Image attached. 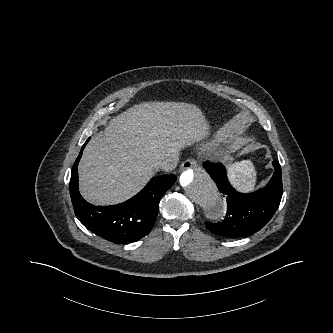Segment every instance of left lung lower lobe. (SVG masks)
<instances>
[{
    "label": "left lung lower lobe",
    "instance_id": "0a47b994",
    "mask_svg": "<svg viewBox=\"0 0 333 333\" xmlns=\"http://www.w3.org/2000/svg\"><path fill=\"white\" fill-rule=\"evenodd\" d=\"M273 166L275 172L265 189L253 194H242L229 184L222 164L205 163L204 168L218 189L227 195L228 207L222 222H206V227L217 235L228 237L247 236L264 227L276 212L283 193L280 164L275 160Z\"/></svg>",
    "mask_w": 333,
    "mask_h": 333
}]
</instances>
